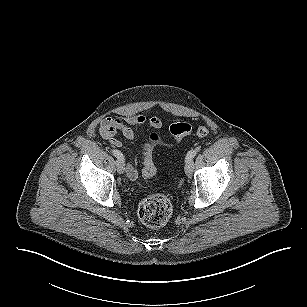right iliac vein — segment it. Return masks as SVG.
<instances>
[{"label":"right iliac vein","instance_id":"obj_1","mask_svg":"<svg viewBox=\"0 0 307 307\" xmlns=\"http://www.w3.org/2000/svg\"><path fill=\"white\" fill-rule=\"evenodd\" d=\"M116 168H117V172L119 174H123L124 171H125V163H124V160H121V159H118L116 161Z\"/></svg>","mask_w":307,"mask_h":307}]
</instances>
